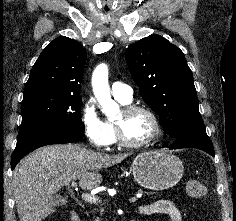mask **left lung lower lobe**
I'll return each instance as SVG.
<instances>
[{
  "label": "left lung lower lobe",
  "mask_w": 236,
  "mask_h": 221,
  "mask_svg": "<svg viewBox=\"0 0 236 221\" xmlns=\"http://www.w3.org/2000/svg\"><path fill=\"white\" fill-rule=\"evenodd\" d=\"M175 141L169 146L172 149L193 147L214 156L213 145L206 134V130H191L174 137Z\"/></svg>",
  "instance_id": "obj_1"
}]
</instances>
